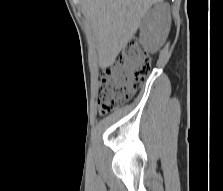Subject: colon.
Masks as SVG:
<instances>
[{"mask_svg": "<svg viewBox=\"0 0 223 191\" xmlns=\"http://www.w3.org/2000/svg\"><path fill=\"white\" fill-rule=\"evenodd\" d=\"M151 57L137 41H131L117 59L102 74L98 87L101 114L117 109L127 102L150 74Z\"/></svg>", "mask_w": 223, "mask_h": 191, "instance_id": "obj_1", "label": "colon"}]
</instances>
